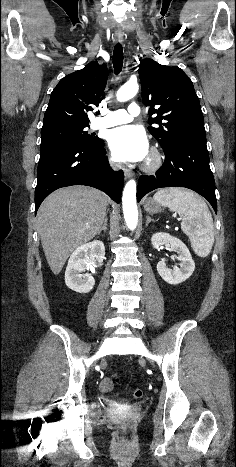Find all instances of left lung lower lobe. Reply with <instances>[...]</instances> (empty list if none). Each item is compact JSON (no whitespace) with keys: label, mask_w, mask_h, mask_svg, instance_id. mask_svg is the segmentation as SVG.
Wrapping results in <instances>:
<instances>
[{"label":"left lung lower lobe","mask_w":236,"mask_h":467,"mask_svg":"<svg viewBox=\"0 0 236 467\" xmlns=\"http://www.w3.org/2000/svg\"><path fill=\"white\" fill-rule=\"evenodd\" d=\"M164 153L165 162L156 174L139 178L137 201L157 188L185 187L206 198L217 213L215 181L209 166L206 135L180 137Z\"/></svg>","instance_id":"1"}]
</instances>
